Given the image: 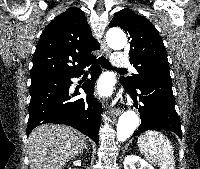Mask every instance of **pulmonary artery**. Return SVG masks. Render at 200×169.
<instances>
[{
  "label": "pulmonary artery",
  "instance_id": "1",
  "mask_svg": "<svg viewBox=\"0 0 200 169\" xmlns=\"http://www.w3.org/2000/svg\"><path fill=\"white\" fill-rule=\"evenodd\" d=\"M112 64L117 67L129 66V59L125 53L118 51L112 58Z\"/></svg>",
  "mask_w": 200,
  "mask_h": 169
}]
</instances>
